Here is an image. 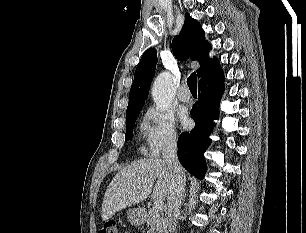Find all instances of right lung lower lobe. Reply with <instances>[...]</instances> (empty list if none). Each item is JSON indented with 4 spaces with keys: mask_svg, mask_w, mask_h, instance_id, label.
<instances>
[{
    "mask_svg": "<svg viewBox=\"0 0 306 233\" xmlns=\"http://www.w3.org/2000/svg\"><path fill=\"white\" fill-rule=\"evenodd\" d=\"M221 75V76H220ZM224 78L221 67L199 80V99L191 110L194 129L178 139V159L192 175L202 179L206 171L204 152L210 144L209 133L218 118Z\"/></svg>",
    "mask_w": 306,
    "mask_h": 233,
    "instance_id": "98d812e1",
    "label": "right lung lower lobe"
}]
</instances>
